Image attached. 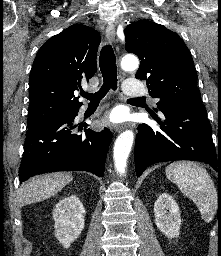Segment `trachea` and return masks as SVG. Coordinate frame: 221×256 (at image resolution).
<instances>
[{
	"mask_svg": "<svg viewBox=\"0 0 221 256\" xmlns=\"http://www.w3.org/2000/svg\"><path fill=\"white\" fill-rule=\"evenodd\" d=\"M99 66L103 76V85L98 92L90 94L88 92H81L80 95L91 103L99 102L107 92L112 89H117V67L116 57L111 45H105L102 47L99 56ZM144 98H132L128 101H138Z\"/></svg>",
	"mask_w": 221,
	"mask_h": 256,
	"instance_id": "1",
	"label": "trachea"
}]
</instances>
